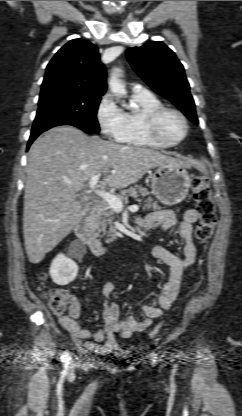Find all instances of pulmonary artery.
<instances>
[{
	"label": "pulmonary artery",
	"mask_w": 242,
	"mask_h": 416,
	"mask_svg": "<svg viewBox=\"0 0 242 416\" xmlns=\"http://www.w3.org/2000/svg\"><path fill=\"white\" fill-rule=\"evenodd\" d=\"M144 91H147V89L140 84H136L133 86V92H144Z\"/></svg>",
	"instance_id": "obj_1"
}]
</instances>
